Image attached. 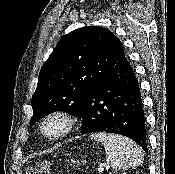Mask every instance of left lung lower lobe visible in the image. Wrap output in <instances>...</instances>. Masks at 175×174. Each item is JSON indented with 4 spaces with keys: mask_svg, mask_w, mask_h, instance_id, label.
I'll use <instances>...</instances> for the list:
<instances>
[{
    "mask_svg": "<svg viewBox=\"0 0 175 174\" xmlns=\"http://www.w3.org/2000/svg\"><path fill=\"white\" fill-rule=\"evenodd\" d=\"M82 134L109 132L133 139L148 154L139 83L124 53L111 72L84 97Z\"/></svg>",
    "mask_w": 175,
    "mask_h": 174,
    "instance_id": "1",
    "label": "left lung lower lobe"
}]
</instances>
